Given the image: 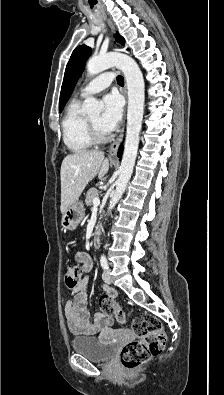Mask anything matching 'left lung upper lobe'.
<instances>
[{
  "label": "left lung upper lobe",
  "instance_id": "obj_1",
  "mask_svg": "<svg viewBox=\"0 0 224 395\" xmlns=\"http://www.w3.org/2000/svg\"><path fill=\"white\" fill-rule=\"evenodd\" d=\"M116 40L124 44V39L117 33ZM91 54V48L86 45L78 46L74 49L70 60L66 66L64 80L61 88L59 110L62 111L66 102L74 89V86L84 69L86 60Z\"/></svg>",
  "mask_w": 224,
  "mask_h": 395
}]
</instances>
